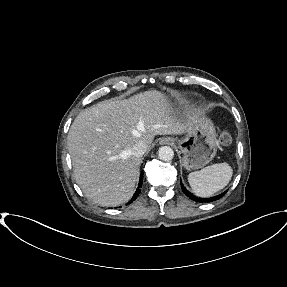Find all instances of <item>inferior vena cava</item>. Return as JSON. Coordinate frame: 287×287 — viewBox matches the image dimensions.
I'll use <instances>...</instances> for the list:
<instances>
[{
	"label": "inferior vena cava",
	"instance_id": "602c4592",
	"mask_svg": "<svg viewBox=\"0 0 287 287\" xmlns=\"http://www.w3.org/2000/svg\"><path fill=\"white\" fill-rule=\"evenodd\" d=\"M147 150V145L143 141H139L132 148V154L141 157Z\"/></svg>",
	"mask_w": 287,
	"mask_h": 287
}]
</instances>
